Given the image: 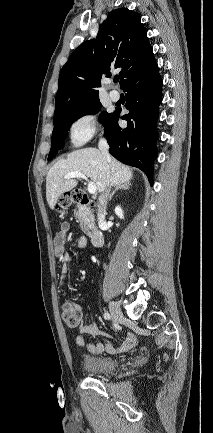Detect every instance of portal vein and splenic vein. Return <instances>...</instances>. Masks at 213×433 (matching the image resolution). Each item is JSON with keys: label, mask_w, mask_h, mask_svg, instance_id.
I'll use <instances>...</instances> for the list:
<instances>
[{"label": "portal vein and splenic vein", "mask_w": 213, "mask_h": 433, "mask_svg": "<svg viewBox=\"0 0 213 433\" xmlns=\"http://www.w3.org/2000/svg\"><path fill=\"white\" fill-rule=\"evenodd\" d=\"M70 178H82V179L88 181V192L90 194L96 193V191H97L96 185L93 182L89 181L88 178L84 174H82L81 172H71V173H68L67 175H65V179H70Z\"/></svg>", "instance_id": "18ae733b"}]
</instances>
